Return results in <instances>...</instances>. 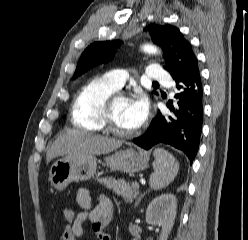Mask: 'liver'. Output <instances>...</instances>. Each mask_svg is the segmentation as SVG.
Masks as SVG:
<instances>
[{
    "mask_svg": "<svg viewBox=\"0 0 248 240\" xmlns=\"http://www.w3.org/2000/svg\"><path fill=\"white\" fill-rule=\"evenodd\" d=\"M123 144V141L104 136L92 135L82 131H69L58 137L48 149L46 159L64 156L79 157L109 153Z\"/></svg>",
    "mask_w": 248,
    "mask_h": 240,
    "instance_id": "1",
    "label": "liver"
}]
</instances>
